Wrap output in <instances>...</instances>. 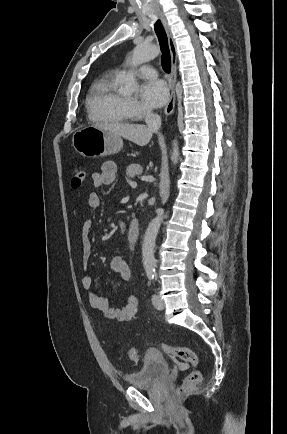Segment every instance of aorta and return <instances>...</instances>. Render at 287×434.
Segmentation results:
<instances>
[{"instance_id": "aorta-1", "label": "aorta", "mask_w": 287, "mask_h": 434, "mask_svg": "<svg viewBox=\"0 0 287 434\" xmlns=\"http://www.w3.org/2000/svg\"><path fill=\"white\" fill-rule=\"evenodd\" d=\"M159 54V49L155 45L138 44L133 52L131 59V66L136 67L140 64L148 62ZM137 81L134 76V72L131 70L124 78V91L126 93H132L137 88ZM173 150L171 154V161L173 164H177L179 160V147L178 142L175 140L172 143ZM164 209H159L157 216L150 222L143 241L142 246V261L147 273L153 274L155 271L156 261L154 258L155 240L163 221Z\"/></svg>"}]
</instances>
